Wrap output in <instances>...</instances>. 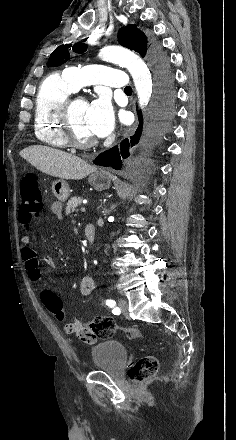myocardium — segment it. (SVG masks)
Returning <instances> with one entry per match:
<instances>
[{"instance_id": "myocardium-1", "label": "myocardium", "mask_w": 236, "mask_h": 440, "mask_svg": "<svg viewBox=\"0 0 236 440\" xmlns=\"http://www.w3.org/2000/svg\"><path fill=\"white\" fill-rule=\"evenodd\" d=\"M78 100H84L85 98L81 95L71 93L66 97V99L62 102L59 112H58V120L61 125V134L69 146L85 149L93 147L97 141L94 138L81 140L76 136V133L73 128L71 112L73 105Z\"/></svg>"}]
</instances>
